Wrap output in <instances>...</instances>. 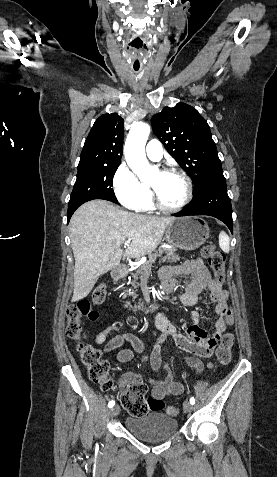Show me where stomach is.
<instances>
[{
	"label": "stomach",
	"instance_id": "obj_1",
	"mask_svg": "<svg viewBox=\"0 0 277 477\" xmlns=\"http://www.w3.org/2000/svg\"><path fill=\"white\" fill-rule=\"evenodd\" d=\"M207 222L199 217L175 218L166 229V241L176 248L192 251L201 247L209 238Z\"/></svg>",
	"mask_w": 277,
	"mask_h": 477
}]
</instances>
